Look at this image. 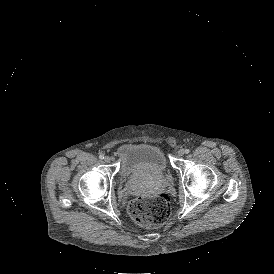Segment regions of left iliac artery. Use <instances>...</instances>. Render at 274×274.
Here are the masks:
<instances>
[{"instance_id":"1","label":"left iliac artery","mask_w":274,"mask_h":274,"mask_svg":"<svg viewBox=\"0 0 274 274\" xmlns=\"http://www.w3.org/2000/svg\"><path fill=\"white\" fill-rule=\"evenodd\" d=\"M190 152L189 149H185V153L188 154Z\"/></svg>"}]
</instances>
